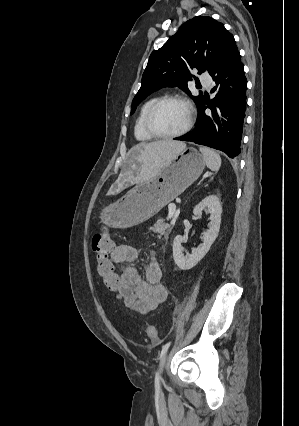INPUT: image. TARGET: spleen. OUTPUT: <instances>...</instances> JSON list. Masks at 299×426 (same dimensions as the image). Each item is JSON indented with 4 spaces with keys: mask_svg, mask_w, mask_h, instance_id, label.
<instances>
[{
    "mask_svg": "<svg viewBox=\"0 0 299 426\" xmlns=\"http://www.w3.org/2000/svg\"><path fill=\"white\" fill-rule=\"evenodd\" d=\"M199 150L204 156L207 167L212 171H218L221 166L220 155L207 147H200Z\"/></svg>",
    "mask_w": 299,
    "mask_h": 426,
    "instance_id": "obj_1",
    "label": "spleen"
}]
</instances>
